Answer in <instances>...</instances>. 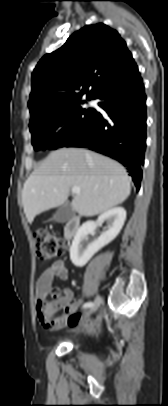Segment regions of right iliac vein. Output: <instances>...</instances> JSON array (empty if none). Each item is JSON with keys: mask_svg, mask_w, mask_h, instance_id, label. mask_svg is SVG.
Returning <instances> with one entry per match:
<instances>
[{"mask_svg": "<svg viewBox=\"0 0 168 406\" xmlns=\"http://www.w3.org/2000/svg\"><path fill=\"white\" fill-rule=\"evenodd\" d=\"M101 302H102V298L98 295L94 300L93 306H91L90 309L87 311V314L89 315V314L95 312L98 309V307L100 306Z\"/></svg>", "mask_w": 168, "mask_h": 406, "instance_id": "1", "label": "right iliac vein"}]
</instances>
